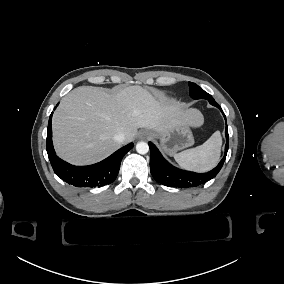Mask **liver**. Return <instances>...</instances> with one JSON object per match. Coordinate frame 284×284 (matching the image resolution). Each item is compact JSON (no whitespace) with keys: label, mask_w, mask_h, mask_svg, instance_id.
I'll list each match as a JSON object with an SVG mask.
<instances>
[{"label":"liver","mask_w":284,"mask_h":284,"mask_svg":"<svg viewBox=\"0 0 284 284\" xmlns=\"http://www.w3.org/2000/svg\"><path fill=\"white\" fill-rule=\"evenodd\" d=\"M177 125L201 128L204 117L195 109L160 105L138 86L113 96L101 88L78 87L63 97L53 117L57 152L77 164L101 160L118 149L121 144L113 137L119 132L128 143L139 128L161 134Z\"/></svg>","instance_id":"obj_1"}]
</instances>
